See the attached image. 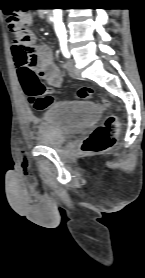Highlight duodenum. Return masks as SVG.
I'll use <instances>...</instances> for the list:
<instances>
[{
  "mask_svg": "<svg viewBox=\"0 0 145 278\" xmlns=\"http://www.w3.org/2000/svg\"><path fill=\"white\" fill-rule=\"evenodd\" d=\"M44 18H45V21H46L47 23H52L53 16H52V13L50 12V10H48V11L45 13Z\"/></svg>",
  "mask_w": 145,
  "mask_h": 278,
  "instance_id": "obj_1",
  "label": "duodenum"
}]
</instances>
